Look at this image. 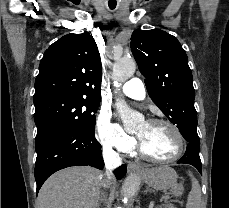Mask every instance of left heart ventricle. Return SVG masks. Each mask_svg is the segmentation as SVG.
Segmentation results:
<instances>
[{"label": "left heart ventricle", "instance_id": "b2bd125f", "mask_svg": "<svg viewBox=\"0 0 229 208\" xmlns=\"http://www.w3.org/2000/svg\"><path fill=\"white\" fill-rule=\"evenodd\" d=\"M170 130L174 129L163 124L143 122L136 128L135 133L144 141L145 151L150 152V157H159V160H170V157L177 155L183 149V147H176V143H173Z\"/></svg>", "mask_w": 229, "mask_h": 208}]
</instances>
